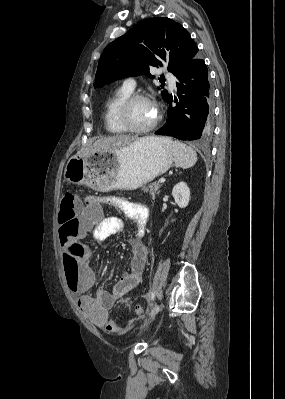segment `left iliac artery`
Listing matches in <instances>:
<instances>
[{"label": "left iliac artery", "instance_id": "obj_1", "mask_svg": "<svg viewBox=\"0 0 285 399\" xmlns=\"http://www.w3.org/2000/svg\"><path fill=\"white\" fill-rule=\"evenodd\" d=\"M154 297H155V293L152 292V293H151V299L154 300Z\"/></svg>", "mask_w": 285, "mask_h": 399}]
</instances>
